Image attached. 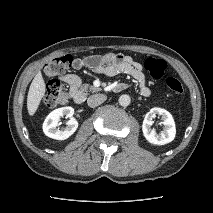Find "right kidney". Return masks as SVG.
<instances>
[{"label":"right kidney","instance_id":"ca27d5eb","mask_svg":"<svg viewBox=\"0 0 213 213\" xmlns=\"http://www.w3.org/2000/svg\"><path fill=\"white\" fill-rule=\"evenodd\" d=\"M74 109L70 106L61 107L53 110L45 119L43 123V132L46 136L56 139L65 140L69 138L78 128V122L72 118ZM70 118L65 128H57L61 117Z\"/></svg>","mask_w":213,"mask_h":213}]
</instances>
